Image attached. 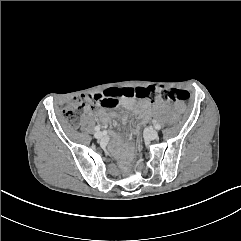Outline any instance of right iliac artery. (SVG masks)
<instances>
[{
    "label": "right iliac artery",
    "mask_w": 241,
    "mask_h": 241,
    "mask_svg": "<svg viewBox=\"0 0 241 241\" xmlns=\"http://www.w3.org/2000/svg\"><path fill=\"white\" fill-rule=\"evenodd\" d=\"M94 129H95V131H99L100 130V126H96Z\"/></svg>",
    "instance_id": "1"
}]
</instances>
